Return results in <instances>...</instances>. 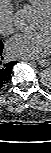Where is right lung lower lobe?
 Here are the masks:
<instances>
[{"label":"right lung lower lobe","mask_w":51,"mask_h":153,"mask_svg":"<svg viewBox=\"0 0 51 153\" xmlns=\"http://www.w3.org/2000/svg\"><path fill=\"white\" fill-rule=\"evenodd\" d=\"M3 44L0 46V89L8 82L11 77L13 66L17 62L4 63L2 57Z\"/></svg>","instance_id":"obj_1"}]
</instances>
